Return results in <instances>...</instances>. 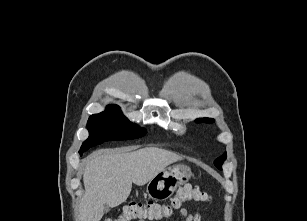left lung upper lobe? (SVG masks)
I'll use <instances>...</instances> for the list:
<instances>
[{
  "mask_svg": "<svg viewBox=\"0 0 307 221\" xmlns=\"http://www.w3.org/2000/svg\"><path fill=\"white\" fill-rule=\"evenodd\" d=\"M196 122H208V123H211V122H214V120L212 118H201V119H196ZM226 153L223 154V156L217 158L214 162L215 166L218 168V169H221V165L222 163L224 162V160L226 159Z\"/></svg>",
  "mask_w": 307,
  "mask_h": 221,
  "instance_id": "left-lung-upper-lobe-1",
  "label": "left lung upper lobe"
}]
</instances>
